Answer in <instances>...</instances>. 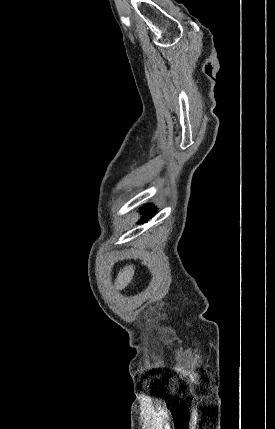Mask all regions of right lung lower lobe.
<instances>
[{"mask_svg": "<svg viewBox=\"0 0 275 429\" xmlns=\"http://www.w3.org/2000/svg\"><path fill=\"white\" fill-rule=\"evenodd\" d=\"M142 209H144V215L145 217L139 221L140 224H143V222H145V218H150L152 217L153 213H154V208H152L151 206L147 205L146 207H143Z\"/></svg>", "mask_w": 275, "mask_h": 429, "instance_id": "obj_1", "label": "right lung lower lobe"}]
</instances>
